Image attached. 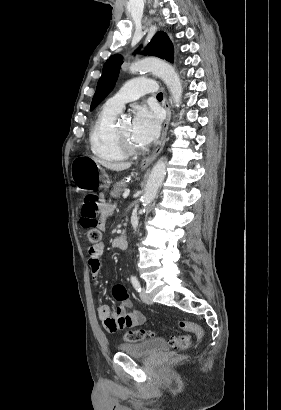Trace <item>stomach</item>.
<instances>
[{
  "mask_svg": "<svg viewBox=\"0 0 281 410\" xmlns=\"http://www.w3.org/2000/svg\"><path fill=\"white\" fill-rule=\"evenodd\" d=\"M71 176L77 189L82 191H94L102 188L106 190L111 183L101 165L89 156H80L73 160Z\"/></svg>",
  "mask_w": 281,
  "mask_h": 410,
  "instance_id": "obj_1",
  "label": "stomach"
}]
</instances>
